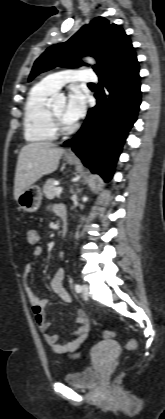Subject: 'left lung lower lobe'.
<instances>
[{
    "label": "left lung lower lobe",
    "mask_w": 165,
    "mask_h": 419,
    "mask_svg": "<svg viewBox=\"0 0 165 419\" xmlns=\"http://www.w3.org/2000/svg\"><path fill=\"white\" fill-rule=\"evenodd\" d=\"M97 105L88 111L79 132L66 146L93 173L109 181L130 128L137 120L141 103L139 63L135 49L110 69L98 75Z\"/></svg>",
    "instance_id": "obj_1"
}]
</instances>
